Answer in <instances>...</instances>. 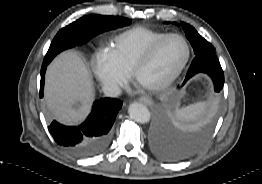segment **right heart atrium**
<instances>
[{"label":"right heart atrium","instance_id":"d8ad5b80","mask_svg":"<svg viewBox=\"0 0 262 184\" xmlns=\"http://www.w3.org/2000/svg\"><path fill=\"white\" fill-rule=\"evenodd\" d=\"M92 71L103 90L109 94L117 93L129 78V73L107 50H99L95 54L92 61Z\"/></svg>","mask_w":262,"mask_h":184}]
</instances>
